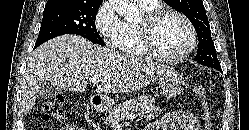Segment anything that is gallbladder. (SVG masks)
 Returning <instances> with one entry per match:
<instances>
[{
    "label": "gallbladder",
    "instance_id": "obj_1",
    "mask_svg": "<svg viewBox=\"0 0 249 130\" xmlns=\"http://www.w3.org/2000/svg\"><path fill=\"white\" fill-rule=\"evenodd\" d=\"M61 93V89L59 87L54 86L48 82H42L39 84V89L37 95L44 98H49L56 96Z\"/></svg>",
    "mask_w": 249,
    "mask_h": 130
}]
</instances>
